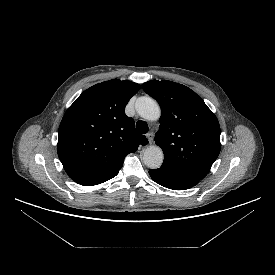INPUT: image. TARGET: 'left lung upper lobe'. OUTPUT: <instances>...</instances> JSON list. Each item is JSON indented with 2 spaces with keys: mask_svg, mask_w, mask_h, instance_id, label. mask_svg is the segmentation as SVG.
Wrapping results in <instances>:
<instances>
[{
  "mask_svg": "<svg viewBox=\"0 0 275 275\" xmlns=\"http://www.w3.org/2000/svg\"><path fill=\"white\" fill-rule=\"evenodd\" d=\"M161 105L156 144L163 164L202 179L219 155L220 126L214 113L190 88L167 80L143 83Z\"/></svg>",
  "mask_w": 275,
  "mask_h": 275,
  "instance_id": "1",
  "label": "left lung upper lobe"
}]
</instances>
